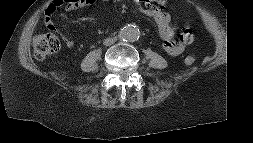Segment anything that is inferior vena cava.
I'll return each instance as SVG.
<instances>
[{
    "mask_svg": "<svg viewBox=\"0 0 253 143\" xmlns=\"http://www.w3.org/2000/svg\"><path fill=\"white\" fill-rule=\"evenodd\" d=\"M115 41H116V38H107V39L104 40L103 44L105 46H109V45L114 44Z\"/></svg>",
    "mask_w": 253,
    "mask_h": 143,
    "instance_id": "1",
    "label": "inferior vena cava"
}]
</instances>
